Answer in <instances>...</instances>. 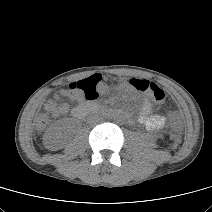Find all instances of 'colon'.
Returning <instances> with one entry per match:
<instances>
[{"mask_svg": "<svg viewBox=\"0 0 212 212\" xmlns=\"http://www.w3.org/2000/svg\"><path fill=\"white\" fill-rule=\"evenodd\" d=\"M107 88L106 83L98 74L91 75L85 79L72 82L68 85V90L74 94L82 95L88 100L96 99L99 94ZM110 90H136L148 94L154 101L163 103L166 94L157 84L145 79H126L119 81H110L108 83ZM172 121L174 128L179 127L180 117L177 113H173ZM48 122L46 115L38 117L36 122L37 131L41 132Z\"/></svg>", "mask_w": 212, "mask_h": 212, "instance_id": "obj_1", "label": "colon"}]
</instances>
